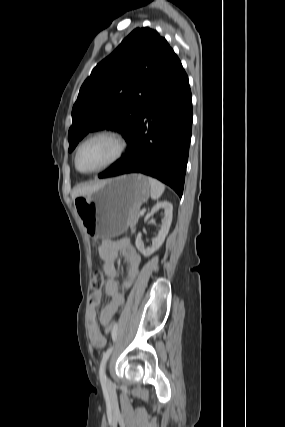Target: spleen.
<instances>
[{
    "mask_svg": "<svg viewBox=\"0 0 285 427\" xmlns=\"http://www.w3.org/2000/svg\"><path fill=\"white\" fill-rule=\"evenodd\" d=\"M149 184L151 186V198L158 200L165 190V186L158 180L148 177Z\"/></svg>",
    "mask_w": 285,
    "mask_h": 427,
    "instance_id": "3e777b00",
    "label": "spleen"
}]
</instances>
